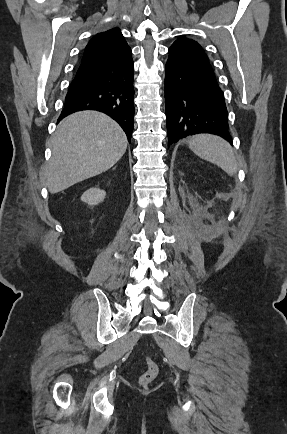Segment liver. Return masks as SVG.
Listing matches in <instances>:
<instances>
[{
    "label": "liver",
    "mask_w": 287,
    "mask_h": 434,
    "mask_svg": "<svg viewBox=\"0 0 287 434\" xmlns=\"http://www.w3.org/2000/svg\"><path fill=\"white\" fill-rule=\"evenodd\" d=\"M127 138L121 127L98 111L73 113L60 122L52 139L46 168L51 194L99 175L124 155Z\"/></svg>",
    "instance_id": "1"
}]
</instances>
